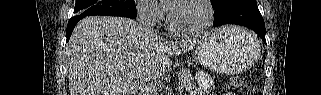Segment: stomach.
I'll use <instances>...</instances> for the list:
<instances>
[{
	"label": "stomach",
	"mask_w": 321,
	"mask_h": 95,
	"mask_svg": "<svg viewBox=\"0 0 321 95\" xmlns=\"http://www.w3.org/2000/svg\"><path fill=\"white\" fill-rule=\"evenodd\" d=\"M256 36L242 28L224 27L199 42L195 48L198 62L221 74H237L254 64L260 53Z\"/></svg>",
	"instance_id": "0dacf381"
}]
</instances>
